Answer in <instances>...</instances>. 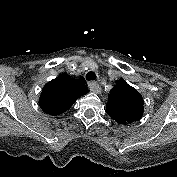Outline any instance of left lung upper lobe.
<instances>
[{
    "label": "left lung upper lobe",
    "mask_w": 177,
    "mask_h": 177,
    "mask_svg": "<svg viewBox=\"0 0 177 177\" xmlns=\"http://www.w3.org/2000/svg\"><path fill=\"white\" fill-rule=\"evenodd\" d=\"M106 105L107 114L122 126H130L139 121L143 115V98L124 79L116 84L110 92Z\"/></svg>",
    "instance_id": "left-lung-upper-lobe-1"
}]
</instances>
